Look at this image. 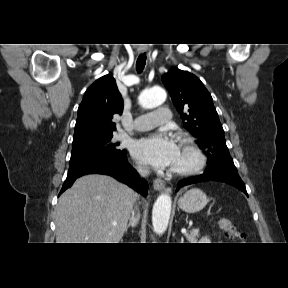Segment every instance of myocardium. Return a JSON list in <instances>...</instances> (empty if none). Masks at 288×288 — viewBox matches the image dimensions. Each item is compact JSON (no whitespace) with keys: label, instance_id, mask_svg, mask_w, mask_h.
I'll return each instance as SVG.
<instances>
[{"label":"myocardium","instance_id":"f54148a6","mask_svg":"<svg viewBox=\"0 0 288 288\" xmlns=\"http://www.w3.org/2000/svg\"><path fill=\"white\" fill-rule=\"evenodd\" d=\"M181 147L190 157V163L180 167H172L171 171L178 175H191L203 168L205 165V155L195 140L188 134H178Z\"/></svg>","mask_w":288,"mask_h":288}]
</instances>
